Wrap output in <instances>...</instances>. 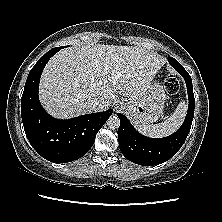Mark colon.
<instances>
[{
	"instance_id": "obj_1",
	"label": "colon",
	"mask_w": 222,
	"mask_h": 222,
	"mask_svg": "<svg viewBox=\"0 0 222 222\" xmlns=\"http://www.w3.org/2000/svg\"><path fill=\"white\" fill-rule=\"evenodd\" d=\"M164 85H165V89L166 91L170 94V95H173V94H176L178 91H179V81L178 79L172 75V74H168L166 77H165V80H164Z\"/></svg>"
}]
</instances>
